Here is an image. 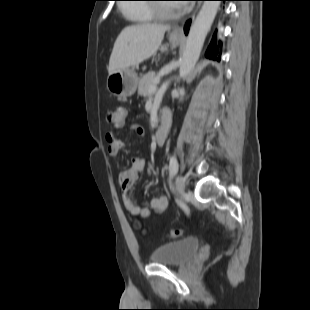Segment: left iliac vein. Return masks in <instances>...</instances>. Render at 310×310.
Listing matches in <instances>:
<instances>
[{"instance_id": "4c4485c4", "label": "left iliac vein", "mask_w": 310, "mask_h": 310, "mask_svg": "<svg viewBox=\"0 0 310 310\" xmlns=\"http://www.w3.org/2000/svg\"><path fill=\"white\" fill-rule=\"evenodd\" d=\"M175 185L178 193L182 194L185 189V180L182 176L178 175L175 180Z\"/></svg>"}]
</instances>
